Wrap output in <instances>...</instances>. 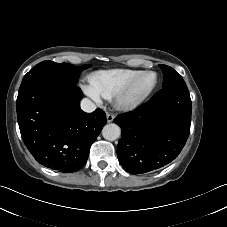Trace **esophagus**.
<instances>
[{
    "instance_id": "1",
    "label": "esophagus",
    "mask_w": 227,
    "mask_h": 227,
    "mask_svg": "<svg viewBox=\"0 0 227 227\" xmlns=\"http://www.w3.org/2000/svg\"><path fill=\"white\" fill-rule=\"evenodd\" d=\"M114 118H115V115L114 114L109 113V112L106 113L107 122H109V123L110 122H113Z\"/></svg>"
}]
</instances>
